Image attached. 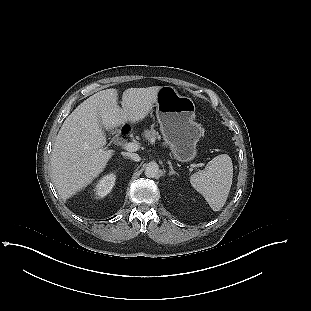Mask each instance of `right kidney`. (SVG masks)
<instances>
[{
	"label": "right kidney",
	"instance_id": "1",
	"mask_svg": "<svg viewBox=\"0 0 311 311\" xmlns=\"http://www.w3.org/2000/svg\"><path fill=\"white\" fill-rule=\"evenodd\" d=\"M115 178L112 176L103 178L95 188L96 195L100 198L106 196L114 186Z\"/></svg>",
	"mask_w": 311,
	"mask_h": 311
}]
</instances>
